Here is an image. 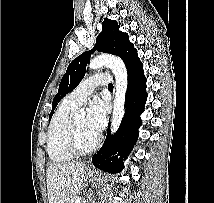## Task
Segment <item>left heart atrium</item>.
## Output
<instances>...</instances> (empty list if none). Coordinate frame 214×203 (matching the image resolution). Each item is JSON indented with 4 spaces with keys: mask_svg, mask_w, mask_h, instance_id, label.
I'll return each mask as SVG.
<instances>
[{
    "mask_svg": "<svg viewBox=\"0 0 214 203\" xmlns=\"http://www.w3.org/2000/svg\"><path fill=\"white\" fill-rule=\"evenodd\" d=\"M106 123V108L104 102L95 97L89 107L86 117L87 127L94 133L98 134Z\"/></svg>",
    "mask_w": 214,
    "mask_h": 203,
    "instance_id": "left-heart-atrium-1",
    "label": "left heart atrium"
}]
</instances>
